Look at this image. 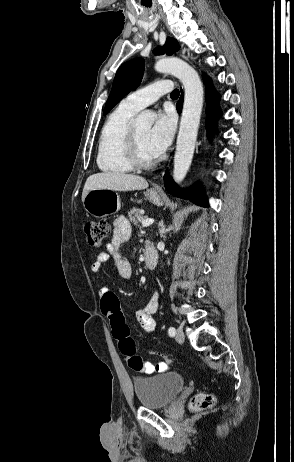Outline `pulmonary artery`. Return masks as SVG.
Instances as JSON below:
<instances>
[{
	"instance_id": "pulmonary-artery-1",
	"label": "pulmonary artery",
	"mask_w": 294,
	"mask_h": 462,
	"mask_svg": "<svg viewBox=\"0 0 294 462\" xmlns=\"http://www.w3.org/2000/svg\"><path fill=\"white\" fill-rule=\"evenodd\" d=\"M171 90L172 84L169 80H159L128 94L121 103L127 108L139 111Z\"/></svg>"
}]
</instances>
